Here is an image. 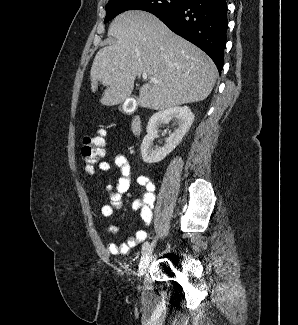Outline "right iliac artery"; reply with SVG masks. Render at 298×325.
<instances>
[{"label": "right iliac artery", "mask_w": 298, "mask_h": 325, "mask_svg": "<svg viewBox=\"0 0 298 325\" xmlns=\"http://www.w3.org/2000/svg\"><path fill=\"white\" fill-rule=\"evenodd\" d=\"M149 246V242H145L143 245H142V251H145Z\"/></svg>", "instance_id": "82829eb1"}]
</instances>
